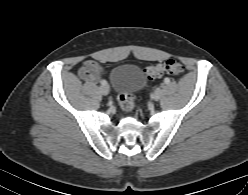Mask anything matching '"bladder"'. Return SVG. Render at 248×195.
I'll use <instances>...</instances> for the list:
<instances>
[{"label":"bladder","mask_w":248,"mask_h":195,"mask_svg":"<svg viewBox=\"0 0 248 195\" xmlns=\"http://www.w3.org/2000/svg\"><path fill=\"white\" fill-rule=\"evenodd\" d=\"M111 83L115 91L134 94L143 88L145 76L133 64H121L111 72Z\"/></svg>","instance_id":"31cf9c89"}]
</instances>
